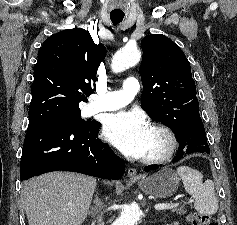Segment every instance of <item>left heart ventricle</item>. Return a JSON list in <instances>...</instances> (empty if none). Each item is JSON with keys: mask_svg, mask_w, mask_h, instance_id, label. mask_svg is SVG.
Segmentation results:
<instances>
[{"mask_svg": "<svg viewBox=\"0 0 237 225\" xmlns=\"http://www.w3.org/2000/svg\"><path fill=\"white\" fill-rule=\"evenodd\" d=\"M163 147V142L156 134L149 131L148 141H147V150L145 155L157 152Z\"/></svg>", "mask_w": 237, "mask_h": 225, "instance_id": "obj_1", "label": "left heart ventricle"}]
</instances>
